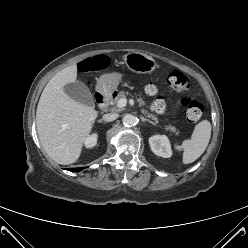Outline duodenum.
Returning a JSON list of instances; mask_svg holds the SVG:
<instances>
[{
    "instance_id": "1",
    "label": "duodenum",
    "mask_w": 248,
    "mask_h": 248,
    "mask_svg": "<svg viewBox=\"0 0 248 248\" xmlns=\"http://www.w3.org/2000/svg\"><path fill=\"white\" fill-rule=\"evenodd\" d=\"M111 99V94L110 93H103V92H97L95 94V100L97 103L100 104L101 107H104L107 105V103Z\"/></svg>"
}]
</instances>
